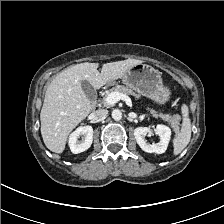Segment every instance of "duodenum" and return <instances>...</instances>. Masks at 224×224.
Listing matches in <instances>:
<instances>
[{
    "mask_svg": "<svg viewBox=\"0 0 224 224\" xmlns=\"http://www.w3.org/2000/svg\"><path fill=\"white\" fill-rule=\"evenodd\" d=\"M97 103H98V102H97L96 99H94V100L92 101V104H93L94 107L96 106Z\"/></svg>",
    "mask_w": 224,
    "mask_h": 224,
    "instance_id": "410a0bca",
    "label": "duodenum"
}]
</instances>
